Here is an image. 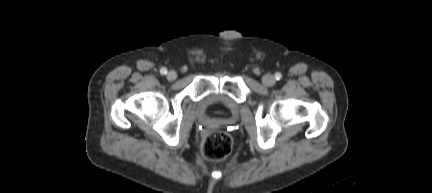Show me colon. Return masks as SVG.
Returning a JSON list of instances; mask_svg holds the SVG:
<instances>
[{
  "mask_svg": "<svg viewBox=\"0 0 432 193\" xmlns=\"http://www.w3.org/2000/svg\"><path fill=\"white\" fill-rule=\"evenodd\" d=\"M232 145L233 141L229 134L215 131L203 139L201 152L208 160H222L231 153Z\"/></svg>",
  "mask_w": 432,
  "mask_h": 193,
  "instance_id": "5ec220e1",
  "label": "colon"
}]
</instances>
